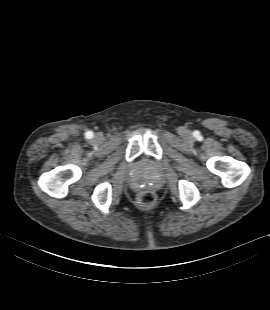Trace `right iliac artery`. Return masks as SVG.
Returning <instances> with one entry per match:
<instances>
[{
  "instance_id": "82829eb1",
  "label": "right iliac artery",
  "mask_w": 270,
  "mask_h": 310,
  "mask_svg": "<svg viewBox=\"0 0 270 310\" xmlns=\"http://www.w3.org/2000/svg\"><path fill=\"white\" fill-rule=\"evenodd\" d=\"M92 136H93V133H92V132H87V133H86V137H87V138H92Z\"/></svg>"
}]
</instances>
